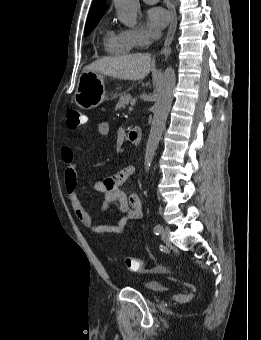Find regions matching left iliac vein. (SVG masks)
Here are the masks:
<instances>
[{"instance_id":"obj_1","label":"left iliac vein","mask_w":261,"mask_h":340,"mask_svg":"<svg viewBox=\"0 0 261 340\" xmlns=\"http://www.w3.org/2000/svg\"><path fill=\"white\" fill-rule=\"evenodd\" d=\"M161 236L163 239H166L168 237V235L170 234V228L168 226H165L162 230H161Z\"/></svg>"}]
</instances>
